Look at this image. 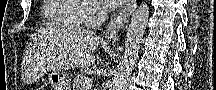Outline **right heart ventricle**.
Returning a JSON list of instances; mask_svg holds the SVG:
<instances>
[{
  "label": "right heart ventricle",
  "mask_w": 216,
  "mask_h": 90,
  "mask_svg": "<svg viewBox=\"0 0 216 90\" xmlns=\"http://www.w3.org/2000/svg\"><path fill=\"white\" fill-rule=\"evenodd\" d=\"M47 6L43 7L46 28H86L81 18V12L86 11L83 4H75L73 0H46Z\"/></svg>",
  "instance_id": "obj_1"
}]
</instances>
